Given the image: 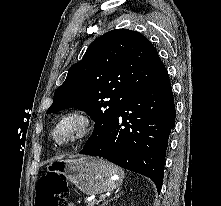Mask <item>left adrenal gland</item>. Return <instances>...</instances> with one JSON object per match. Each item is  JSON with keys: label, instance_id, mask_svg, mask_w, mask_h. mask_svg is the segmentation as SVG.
<instances>
[{"label": "left adrenal gland", "instance_id": "a2214340", "mask_svg": "<svg viewBox=\"0 0 221 206\" xmlns=\"http://www.w3.org/2000/svg\"><path fill=\"white\" fill-rule=\"evenodd\" d=\"M120 195H121V193H119L118 195H116L114 198L108 200L107 202L103 203L102 206L107 205L111 200H113V199H115V198H118Z\"/></svg>", "mask_w": 221, "mask_h": 206}]
</instances>
